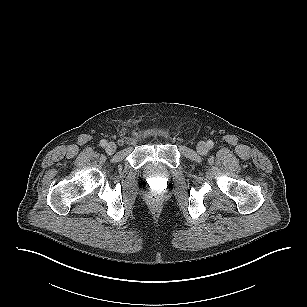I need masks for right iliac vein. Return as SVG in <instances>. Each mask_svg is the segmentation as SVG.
<instances>
[{
  "mask_svg": "<svg viewBox=\"0 0 307 307\" xmlns=\"http://www.w3.org/2000/svg\"><path fill=\"white\" fill-rule=\"evenodd\" d=\"M116 148L117 147H116V144L114 142H109V143L106 144L105 150H106L107 154L111 155L116 151Z\"/></svg>",
  "mask_w": 307,
  "mask_h": 307,
  "instance_id": "1",
  "label": "right iliac vein"
}]
</instances>
